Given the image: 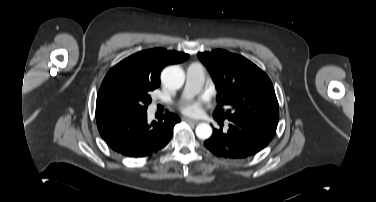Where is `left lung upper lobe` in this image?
<instances>
[{"label":"left lung upper lobe","mask_w":376,"mask_h":202,"mask_svg":"<svg viewBox=\"0 0 376 202\" xmlns=\"http://www.w3.org/2000/svg\"><path fill=\"white\" fill-rule=\"evenodd\" d=\"M218 90L214 118L250 120L277 128L278 101L269 77L246 58L225 50L198 53Z\"/></svg>","instance_id":"left-lung-upper-lobe-1"}]
</instances>
